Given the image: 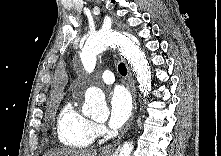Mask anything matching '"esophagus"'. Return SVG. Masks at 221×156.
Wrapping results in <instances>:
<instances>
[{"label":"esophagus","mask_w":221,"mask_h":156,"mask_svg":"<svg viewBox=\"0 0 221 156\" xmlns=\"http://www.w3.org/2000/svg\"><path fill=\"white\" fill-rule=\"evenodd\" d=\"M127 72H128L129 87H130V90H131V93L133 96V115H134V113L136 112V108H137L136 87H135L132 73H131L130 68L128 66H127ZM119 141H120V138L115 143L104 148L101 152V156H110L112 154V152L114 151L116 145L119 143Z\"/></svg>","instance_id":"esophagus-1"}]
</instances>
